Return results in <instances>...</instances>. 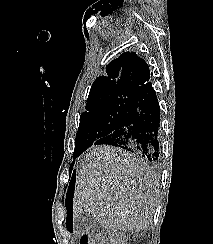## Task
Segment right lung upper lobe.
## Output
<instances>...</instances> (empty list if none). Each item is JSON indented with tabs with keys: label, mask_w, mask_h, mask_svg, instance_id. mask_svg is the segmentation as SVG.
<instances>
[{
	"label": "right lung upper lobe",
	"mask_w": 213,
	"mask_h": 244,
	"mask_svg": "<svg viewBox=\"0 0 213 244\" xmlns=\"http://www.w3.org/2000/svg\"><path fill=\"white\" fill-rule=\"evenodd\" d=\"M107 74L92 84L87 103L106 96L130 94L137 96L150 79V69L135 52H125L106 67Z\"/></svg>",
	"instance_id": "obj_1"
}]
</instances>
